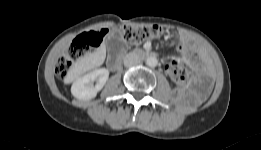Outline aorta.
Returning a JSON list of instances; mask_svg holds the SVG:
<instances>
[{"mask_svg":"<svg viewBox=\"0 0 261 150\" xmlns=\"http://www.w3.org/2000/svg\"><path fill=\"white\" fill-rule=\"evenodd\" d=\"M146 64L149 67H155L158 64V60L155 56H150L146 59Z\"/></svg>","mask_w":261,"mask_h":150,"instance_id":"aorta-1","label":"aorta"}]
</instances>
